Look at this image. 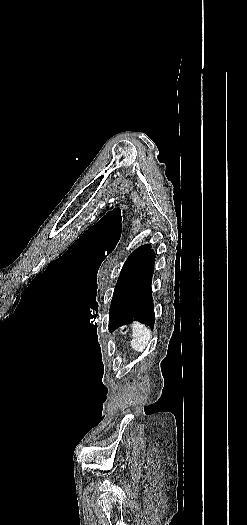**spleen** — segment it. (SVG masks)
<instances>
[{"instance_id":"3e777b00","label":"spleen","mask_w":247,"mask_h":525,"mask_svg":"<svg viewBox=\"0 0 247 525\" xmlns=\"http://www.w3.org/2000/svg\"><path fill=\"white\" fill-rule=\"evenodd\" d=\"M132 337V349H134V351H138V353H142L151 339V331L148 329V327H146V325H142V323L134 321L132 325Z\"/></svg>"}]
</instances>
